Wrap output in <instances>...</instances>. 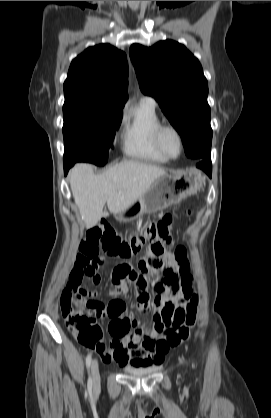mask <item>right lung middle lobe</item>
Returning <instances> with one entry per match:
<instances>
[{"instance_id":"right-lung-middle-lobe-1","label":"right lung middle lobe","mask_w":271,"mask_h":418,"mask_svg":"<svg viewBox=\"0 0 271 418\" xmlns=\"http://www.w3.org/2000/svg\"><path fill=\"white\" fill-rule=\"evenodd\" d=\"M63 115L64 162L104 165L121 124L122 110L68 104L63 106Z\"/></svg>"}]
</instances>
